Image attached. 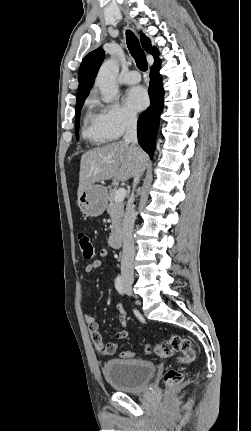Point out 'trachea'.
Instances as JSON below:
<instances>
[{"instance_id": "trachea-1", "label": "trachea", "mask_w": 251, "mask_h": 431, "mask_svg": "<svg viewBox=\"0 0 251 431\" xmlns=\"http://www.w3.org/2000/svg\"><path fill=\"white\" fill-rule=\"evenodd\" d=\"M126 41L130 54L135 59L138 69L141 71H146L148 68V64L145 53L140 46L138 38L131 31H127Z\"/></svg>"}]
</instances>
